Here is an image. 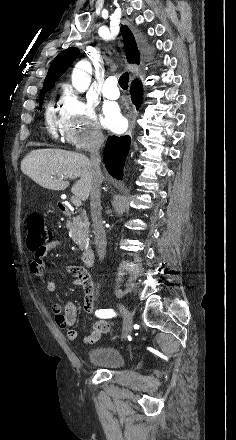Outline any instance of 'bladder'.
Here are the masks:
<instances>
[{"label": "bladder", "instance_id": "1", "mask_svg": "<svg viewBox=\"0 0 236 440\" xmlns=\"http://www.w3.org/2000/svg\"><path fill=\"white\" fill-rule=\"evenodd\" d=\"M88 361L92 365L110 370L120 369L125 363L122 353L110 345L94 347L88 354Z\"/></svg>", "mask_w": 236, "mask_h": 440}]
</instances>
